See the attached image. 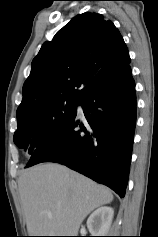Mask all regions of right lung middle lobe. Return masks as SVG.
Segmentation results:
<instances>
[{
	"mask_svg": "<svg viewBox=\"0 0 158 237\" xmlns=\"http://www.w3.org/2000/svg\"><path fill=\"white\" fill-rule=\"evenodd\" d=\"M80 102L68 98L55 99L38 110L18 116L14 143L34 155L42 143L76 114Z\"/></svg>",
	"mask_w": 158,
	"mask_h": 237,
	"instance_id": "right-lung-middle-lobe-1",
	"label": "right lung middle lobe"
}]
</instances>
